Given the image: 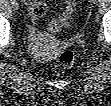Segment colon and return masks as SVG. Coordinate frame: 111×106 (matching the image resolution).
Instances as JSON below:
<instances>
[{"label":"colon","mask_w":111,"mask_h":106,"mask_svg":"<svg viewBox=\"0 0 111 106\" xmlns=\"http://www.w3.org/2000/svg\"><path fill=\"white\" fill-rule=\"evenodd\" d=\"M75 7H76L75 1L73 0L66 1L62 14L59 17L49 22L48 31L51 33H56L65 28L72 20ZM74 60H75V55L70 50L62 51L58 56L59 65L64 67L71 66L74 63Z\"/></svg>","instance_id":"colon-1"}]
</instances>
